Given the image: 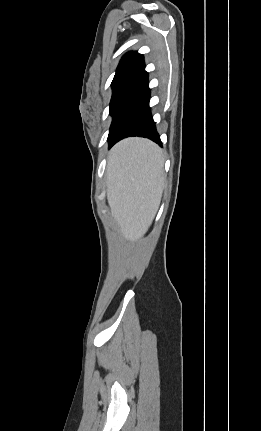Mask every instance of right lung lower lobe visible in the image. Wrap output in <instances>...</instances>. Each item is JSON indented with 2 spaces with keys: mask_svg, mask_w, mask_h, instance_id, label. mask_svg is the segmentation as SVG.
I'll return each mask as SVG.
<instances>
[{
  "mask_svg": "<svg viewBox=\"0 0 261 431\" xmlns=\"http://www.w3.org/2000/svg\"><path fill=\"white\" fill-rule=\"evenodd\" d=\"M148 74L142 71L116 109L110 128L109 148L119 140L139 136L161 145L149 107Z\"/></svg>",
  "mask_w": 261,
  "mask_h": 431,
  "instance_id": "obj_1",
  "label": "right lung lower lobe"
}]
</instances>
